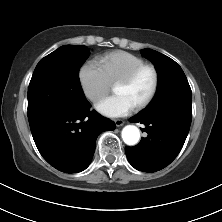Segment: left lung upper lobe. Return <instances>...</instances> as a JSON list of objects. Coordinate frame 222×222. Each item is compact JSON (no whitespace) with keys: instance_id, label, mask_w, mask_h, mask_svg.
<instances>
[{"instance_id":"left-lung-upper-lobe-1","label":"left lung upper lobe","mask_w":222,"mask_h":222,"mask_svg":"<svg viewBox=\"0 0 222 222\" xmlns=\"http://www.w3.org/2000/svg\"><path fill=\"white\" fill-rule=\"evenodd\" d=\"M142 55L149 59L158 72V88L148 108L168 100L192 102V92L181 67L171 58L152 49H143Z\"/></svg>"}]
</instances>
